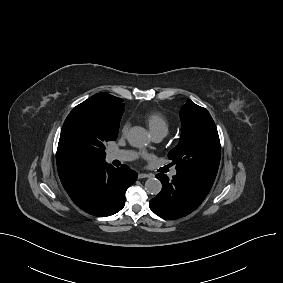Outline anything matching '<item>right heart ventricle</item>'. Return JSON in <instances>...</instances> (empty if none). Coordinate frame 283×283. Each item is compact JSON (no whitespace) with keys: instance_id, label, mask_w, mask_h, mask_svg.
Listing matches in <instances>:
<instances>
[{"instance_id":"obj_1","label":"right heart ventricle","mask_w":283,"mask_h":283,"mask_svg":"<svg viewBox=\"0 0 283 283\" xmlns=\"http://www.w3.org/2000/svg\"><path fill=\"white\" fill-rule=\"evenodd\" d=\"M144 119L153 135L157 133H164L166 135L168 133L169 122L162 113L152 111L147 113Z\"/></svg>"}]
</instances>
